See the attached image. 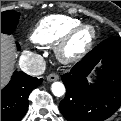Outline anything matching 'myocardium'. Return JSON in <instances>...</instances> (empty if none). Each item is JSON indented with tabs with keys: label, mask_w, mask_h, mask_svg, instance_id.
Segmentation results:
<instances>
[{
	"label": "myocardium",
	"mask_w": 121,
	"mask_h": 121,
	"mask_svg": "<svg viewBox=\"0 0 121 121\" xmlns=\"http://www.w3.org/2000/svg\"><path fill=\"white\" fill-rule=\"evenodd\" d=\"M82 31H89L90 38L78 49H72L75 37ZM97 37L96 29L87 24H78L73 27L58 43L55 48L57 58L63 63H72L81 59L93 46Z\"/></svg>",
	"instance_id": "f54148a6"
}]
</instances>
